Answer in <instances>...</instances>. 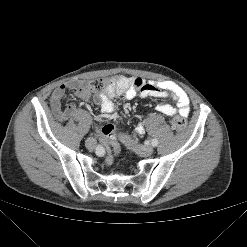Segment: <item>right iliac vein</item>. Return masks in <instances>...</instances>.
I'll use <instances>...</instances> for the list:
<instances>
[{
	"label": "right iliac vein",
	"mask_w": 247,
	"mask_h": 247,
	"mask_svg": "<svg viewBox=\"0 0 247 247\" xmlns=\"http://www.w3.org/2000/svg\"><path fill=\"white\" fill-rule=\"evenodd\" d=\"M95 140L93 138H88L85 142L87 149H93L95 147Z\"/></svg>",
	"instance_id": "obj_1"
}]
</instances>
